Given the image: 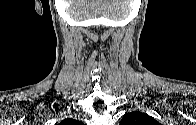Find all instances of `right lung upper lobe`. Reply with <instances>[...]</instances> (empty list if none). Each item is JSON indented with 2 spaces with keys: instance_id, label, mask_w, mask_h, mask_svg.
Returning a JSON list of instances; mask_svg holds the SVG:
<instances>
[{
  "instance_id": "cb5924a9",
  "label": "right lung upper lobe",
  "mask_w": 196,
  "mask_h": 125,
  "mask_svg": "<svg viewBox=\"0 0 196 125\" xmlns=\"http://www.w3.org/2000/svg\"><path fill=\"white\" fill-rule=\"evenodd\" d=\"M69 122H73V120L71 119H65L61 122V124H66V123H69Z\"/></svg>"
}]
</instances>
